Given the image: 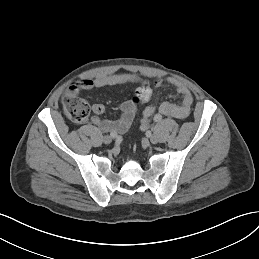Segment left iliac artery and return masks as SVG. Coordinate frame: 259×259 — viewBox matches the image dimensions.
Here are the masks:
<instances>
[{
	"instance_id": "obj_1",
	"label": "left iliac artery",
	"mask_w": 259,
	"mask_h": 259,
	"mask_svg": "<svg viewBox=\"0 0 259 259\" xmlns=\"http://www.w3.org/2000/svg\"><path fill=\"white\" fill-rule=\"evenodd\" d=\"M155 122H160L162 120V115L161 114H156L153 118Z\"/></svg>"
}]
</instances>
